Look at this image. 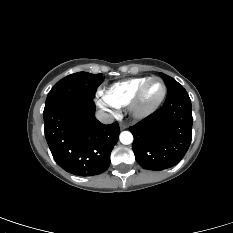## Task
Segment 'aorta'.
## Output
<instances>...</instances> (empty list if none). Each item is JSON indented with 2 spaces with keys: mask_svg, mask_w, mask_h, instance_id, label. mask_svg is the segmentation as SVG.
<instances>
[{
  "mask_svg": "<svg viewBox=\"0 0 233 233\" xmlns=\"http://www.w3.org/2000/svg\"><path fill=\"white\" fill-rule=\"evenodd\" d=\"M119 139L122 144L129 145L133 142V135L129 131H123L121 132Z\"/></svg>",
  "mask_w": 233,
  "mask_h": 233,
  "instance_id": "obj_1",
  "label": "aorta"
}]
</instances>
